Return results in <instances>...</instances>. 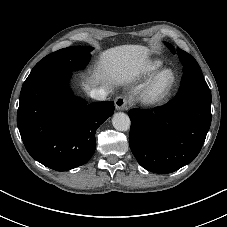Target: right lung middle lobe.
<instances>
[{
	"label": "right lung middle lobe",
	"mask_w": 227,
	"mask_h": 227,
	"mask_svg": "<svg viewBox=\"0 0 227 227\" xmlns=\"http://www.w3.org/2000/svg\"><path fill=\"white\" fill-rule=\"evenodd\" d=\"M92 50V47L75 46L67 47L47 55L35 65L23 85L46 75L70 73L83 69L89 62L90 52Z\"/></svg>",
	"instance_id": "dd1d6c3e"
}]
</instances>
